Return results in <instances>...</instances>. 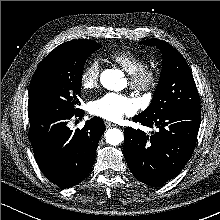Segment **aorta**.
Returning a JSON list of instances; mask_svg holds the SVG:
<instances>
[{"label":"aorta","instance_id":"obj_1","mask_svg":"<svg viewBox=\"0 0 220 220\" xmlns=\"http://www.w3.org/2000/svg\"><path fill=\"white\" fill-rule=\"evenodd\" d=\"M100 81L103 87H105L108 90H114V91L121 90L126 83L124 74L117 69L104 70L101 73ZM105 139L109 145L116 146L123 141L124 135L121 130L117 128H112L106 131Z\"/></svg>","mask_w":220,"mask_h":220}]
</instances>
